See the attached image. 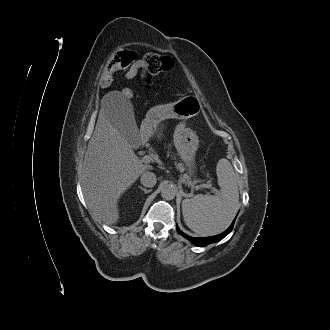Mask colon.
Listing matches in <instances>:
<instances>
[{
	"label": "colon",
	"mask_w": 330,
	"mask_h": 330,
	"mask_svg": "<svg viewBox=\"0 0 330 330\" xmlns=\"http://www.w3.org/2000/svg\"><path fill=\"white\" fill-rule=\"evenodd\" d=\"M135 60L136 56L130 50L125 49L114 53L102 70V82L110 83L112 81L113 74L116 71L128 68ZM143 61L147 72L151 75L167 72L173 67V60L167 55L149 53L144 57ZM122 94L125 97H131L132 91L129 89H123Z\"/></svg>",
	"instance_id": "obj_1"
}]
</instances>
